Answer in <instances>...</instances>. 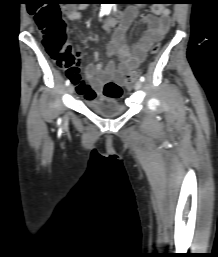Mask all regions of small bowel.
I'll return each mask as SVG.
<instances>
[{
    "label": "small bowel",
    "instance_id": "obj_1",
    "mask_svg": "<svg viewBox=\"0 0 218 257\" xmlns=\"http://www.w3.org/2000/svg\"><path fill=\"white\" fill-rule=\"evenodd\" d=\"M80 10L79 6H67L64 12L68 20L77 21L81 19ZM138 12L137 6L128 7L118 18L110 19L105 26L107 30L114 29L108 54L117 55L119 62L113 60L104 65L102 62H97L98 53H94V62L86 66L83 76L80 73L77 77L70 76L76 92L85 100L102 96L101 89H104L102 83L117 82L123 86L125 76L138 68L152 46L168 32L171 25L170 9L163 5L155 6L152 14H147L139 20V25L145 27L146 31L130 48L125 41V34L137 19Z\"/></svg>",
    "mask_w": 218,
    "mask_h": 257
}]
</instances>
